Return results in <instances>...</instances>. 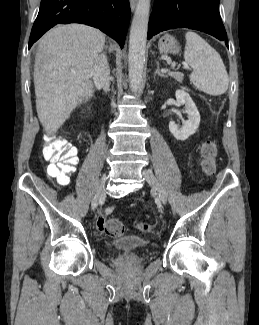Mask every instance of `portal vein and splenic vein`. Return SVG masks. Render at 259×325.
<instances>
[{
	"label": "portal vein and splenic vein",
	"instance_id": "portal-vein-and-splenic-vein-1",
	"mask_svg": "<svg viewBox=\"0 0 259 325\" xmlns=\"http://www.w3.org/2000/svg\"><path fill=\"white\" fill-rule=\"evenodd\" d=\"M183 66H184V68H188L189 67L188 64H186V63Z\"/></svg>",
	"mask_w": 259,
	"mask_h": 325
}]
</instances>
